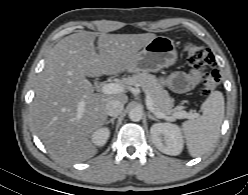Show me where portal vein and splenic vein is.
I'll use <instances>...</instances> for the list:
<instances>
[{"label": "portal vein and splenic vein", "mask_w": 248, "mask_h": 195, "mask_svg": "<svg viewBox=\"0 0 248 195\" xmlns=\"http://www.w3.org/2000/svg\"><path fill=\"white\" fill-rule=\"evenodd\" d=\"M125 91V85L123 84H119V83H107L102 85L101 87V92L103 94H119ZM146 106L147 108L153 112L158 118H165L168 120H173V119H184V118H194L195 114L192 113H188L186 111H178L173 113V115L171 117L166 116L165 114L161 113V112H157L155 111V108L153 106V100L151 98V96L149 95V93L146 92ZM84 107V103L81 102L80 106H79V110L82 111Z\"/></svg>", "instance_id": "18ae733b"}]
</instances>
